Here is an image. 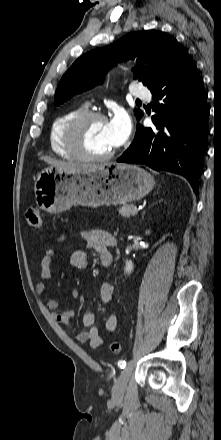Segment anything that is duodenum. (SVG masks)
Listing matches in <instances>:
<instances>
[{"mask_svg":"<svg viewBox=\"0 0 221 440\" xmlns=\"http://www.w3.org/2000/svg\"><path fill=\"white\" fill-rule=\"evenodd\" d=\"M113 245H115V242L113 243ZM111 263H112V259H111V258H107V259L104 261V265H105L106 267H110Z\"/></svg>","mask_w":221,"mask_h":440,"instance_id":"410a0bca","label":"duodenum"}]
</instances>
